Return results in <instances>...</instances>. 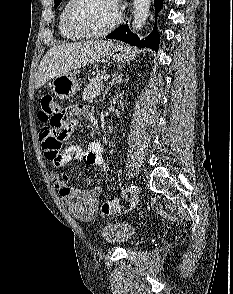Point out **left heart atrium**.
I'll list each match as a JSON object with an SVG mask.
<instances>
[{
  "instance_id": "left-heart-atrium-1",
  "label": "left heart atrium",
  "mask_w": 233,
  "mask_h": 294,
  "mask_svg": "<svg viewBox=\"0 0 233 294\" xmlns=\"http://www.w3.org/2000/svg\"><path fill=\"white\" fill-rule=\"evenodd\" d=\"M112 2H113V4H114V6L116 7V9H118L119 5H118L117 0H112Z\"/></svg>"
}]
</instances>
